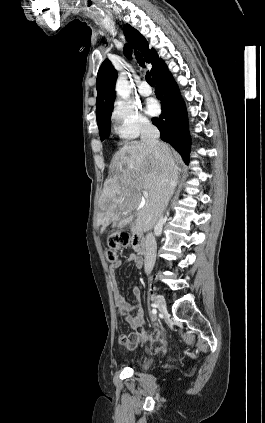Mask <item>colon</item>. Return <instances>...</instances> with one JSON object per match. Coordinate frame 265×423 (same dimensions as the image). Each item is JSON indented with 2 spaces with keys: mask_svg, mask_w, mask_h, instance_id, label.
I'll use <instances>...</instances> for the list:
<instances>
[{
  "mask_svg": "<svg viewBox=\"0 0 265 423\" xmlns=\"http://www.w3.org/2000/svg\"><path fill=\"white\" fill-rule=\"evenodd\" d=\"M130 236L126 231L114 230L109 234L106 258L109 262L117 261V250L129 245Z\"/></svg>",
  "mask_w": 265,
  "mask_h": 423,
  "instance_id": "obj_1",
  "label": "colon"
}]
</instances>
